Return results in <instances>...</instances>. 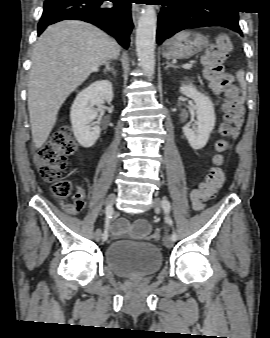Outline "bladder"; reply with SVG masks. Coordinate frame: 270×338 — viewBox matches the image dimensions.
<instances>
[{
  "label": "bladder",
  "instance_id": "obj_1",
  "mask_svg": "<svg viewBox=\"0 0 270 338\" xmlns=\"http://www.w3.org/2000/svg\"><path fill=\"white\" fill-rule=\"evenodd\" d=\"M163 255L148 243L112 242L105 248V265L125 279L147 278L162 267Z\"/></svg>",
  "mask_w": 270,
  "mask_h": 338
}]
</instances>
